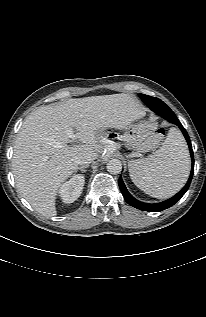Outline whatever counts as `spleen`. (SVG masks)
Masks as SVG:
<instances>
[{
  "instance_id": "3e777b00",
  "label": "spleen",
  "mask_w": 206,
  "mask_h": 317,
  "mask_svg": "<svg viewBox=\"0 0 206 317\" xmlns=\"http://www.w3.org/2000/svg\"><path fill=\"white\" fill-rule=\"evenodd\" d=\"M133 183L146 194L166 198L179 191L190 171L188 148L182 134L171 128L162 146L146 158L131 160Z\"/></svg>"
}]
</instances>
